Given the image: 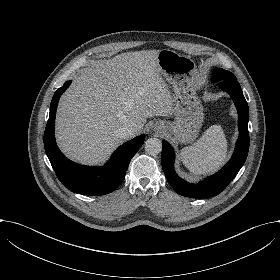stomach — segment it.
Wrapping results in <instances>:
<instances>
[{"label":"stomach","instance_id":"obj_1","mask_svg":"<svg viewBox=\"0 0 280 280\" xmlns=\"http://www.w3.org/2000/svg\"><path fill=\"white\" fill-rule=\"evenodd\" d=\"M157 71L172 88L174 120L168 122L171 142L192 145L205 120L204 107L197 94L198 76L195 62L170 49H161L156 56ZM158 123L155 124V130Z\"/></svg>","mask_w":280,"mask_h":280}]
</instances>
